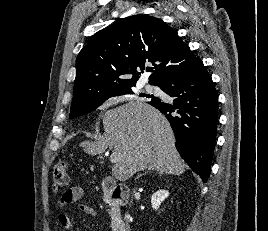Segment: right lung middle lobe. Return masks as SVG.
<instances>
[{
  "label": "right lung middle lobe",
  "instance_id": "right-lung-middle-lobe-1",
  "mask_svg": "<svg viewBox=\"0 0 268 231\" xmlns=\"http://www.w3.org/2000/svg\"><path fill=\"white\" fill-rule=\"evenodd\" d=\"M132 94H134V92L132 91V87H129V88L120 89L108 96H105L99 100H96L90 103H72L69 117L75 118L80 115H85L95 110L96 108H98L110 97L120 96V95H132Z\"/></svg>",
  "mask_w": 268,
  "mask_h": 231
}]
</instances>
